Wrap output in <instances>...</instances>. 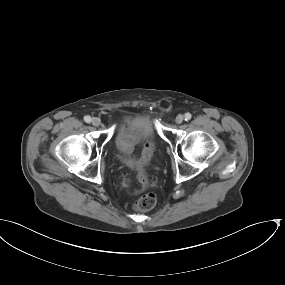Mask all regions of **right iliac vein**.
<instances>
[{
	"instance_id": "right-iliac-vein-1",
	"label": "right iliac vein",
	"mask_w": 285,
	"mask_h": 285,
	"mask_svg": "<svg viewBox=\"0 0 285 285\" xmlns=\"http://www.w3.org/2000/svg\"><path fill=\"white\" fill-rule=\"evenodd\" d=\"M92 124H93V126L98 127L101 124V120L99 118L95 117L92 119Z\"/></svg>"
}]
</instances>
